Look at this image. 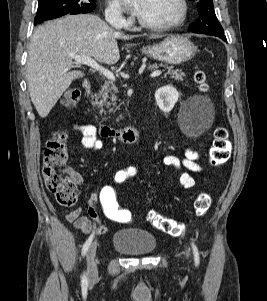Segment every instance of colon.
Instances as JSON below:
<instances>
[{
  "instance_id": "5ec220e1",
  "label": "colon",
  "mask_w": 267,
  "mask_h": 301,
  "mask_svg": "<svg viewBox=\"0 0 267 301\" xmlns=\"http://www.w3.org/2000/svg\"><path fill=\"white\" fill-rule=\"evenodd\" d=\"M194 79L202 91L207 90L206 76L203 71L197 70ZM79 99V90L70 88L65 91L62 101L66 107L71 108L78 103ZM231 150L232 144L227 129L218 127L214 132V139L209 150L210 163L214 166L224 164L229 159ZM68 159L67 133L63 130H57L46 142L42 173L46 188L64 206L73 205L78 196L76 181L72 173L65 168ZM136 174V169L129 168L119 172L115 181L121 186ZM97 203L103 215L111 221L123 223L131 219L130 212L120 205L116 186H104L97 196ZM210 206L211 197L209 194L206 192L199 193L194 201L195 215L197 217L204 216ZM147 218L153 227L170 235H180L184 229L182 224L153 210L149 211Z\"/></svg>"
}]
</instances>
